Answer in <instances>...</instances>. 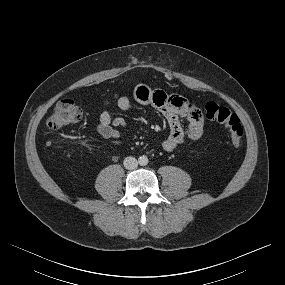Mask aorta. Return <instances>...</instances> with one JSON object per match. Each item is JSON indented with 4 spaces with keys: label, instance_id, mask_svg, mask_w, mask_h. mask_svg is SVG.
Masks as SVG:
<instances>
[{
    "label": "aorta",
    "instance_id": "762f6f07",
    "mask_svg": "<svg viewBox=\"0 0 285 285\" xmlns=\"http://www.w3.org/2000/svg\"><path fill=\"white\" fill-rule=\"evenodd\" d=\"M139 164L140 165H147L148 164V158H147V156H140L139 157Z\"/></svg>",
    "mask_w": 285,
    "mask_h": 285
}]
</instances>
